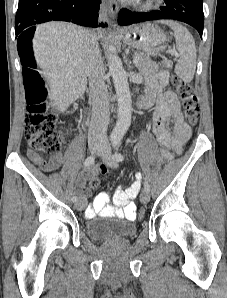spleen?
Masks as SVG:
<instances>
[{"label":"spleen","instance_id":"obj_1","mask_svg":"<svg viewBox=\"0 0 227 298\" xmlns=\"http://www.w3.org/2000/svg\"><path fill=\"white\" fill-rule=\"evenodd\" d=\"M162 23L168 25L174 31L176 48L180 56L175 72L183 81L191 82L196 69L197 51L195 41L188 29L178 22L166 20Z\"/></svg>","mask_w":227,"mask_h":298}]
</instances>
